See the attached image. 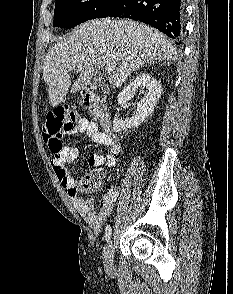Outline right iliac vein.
Returning <instances> with one entry per match:
<instances>
[{
	"instance_id": "63e3f726",
	"label": "right iliac vein",
	"mask_w": 233,
	"mask_h": 294,
	"mask_svg": "<svg viewBox=\"0 0 233 294\" xmlns=\"http://www.w3.org/2000/svg\"><path fill=\"white\" fill-rule=\"evenodd\" d=\"M104 265L107 270H112L114 267L112 241L109 240L104 249Z\"/></svg>"
}]
</instances>
